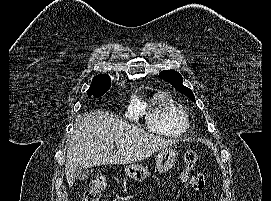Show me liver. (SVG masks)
<instances>
[{
  "mask_svg": "<svg viewBox=\"0 0 271 201\" xmlns=\"http://www.w3.org/2000/svg\"><path fill=\"white\" fill-rule=\"evenodd\" d=\"M175 142L147 133L116 116L94 111L79 117L67 143L65 176L71 188L78 166L132 164L148 158ZM117 147V152L113 148Z\"/></svg>",
  "mask_w": 271,
  "mask_h": 201,
  "instance_id": "6515ba94",
  "label": "liver"
}]
</instances>
